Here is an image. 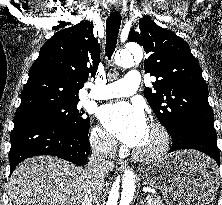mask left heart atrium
I'll list each match as a JSON object with an SVG mask.
<instances>
[{
    "label": "left heart atrium",
    "instance_id": "1",
    "mask_svg": "<svg viewBox=\"0 0 222 205\" xmlns=\"http://www.w3.org/2000/svg\"><path fill=\"white\" fill-rule=\"evenodd\" d=\"M100 119L108 131L130 147H137L148 129L144 111L137 104L117 102L106 105L100 111Z\"/></svg>",
    "mask_w": 222,
    "mask_h": 205
}]
</instances>
